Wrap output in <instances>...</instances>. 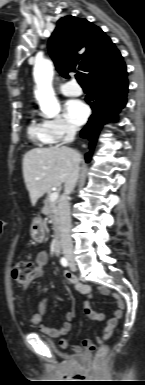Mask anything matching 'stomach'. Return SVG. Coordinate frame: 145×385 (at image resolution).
<instances>
[{
    "mask_svg": "<svg viewBox=\"0 0 145 385\" xmlns=\"http://www.w3.org/2000/svg\"><path fill=\"white\" fill-rule=\"evenodd\" d=\"M30 236L36 242H42L45 237L44 226L41 219H35L30 228Z\"/></svg>",
    "mask_w": 145,
    "mask_h": 385,
    "instance_id": "obj_1",
    "label": "stomach"
}]
</instances>
